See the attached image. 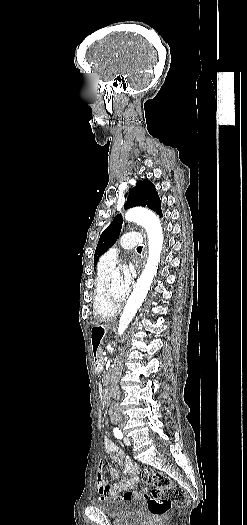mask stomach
<instances>
[{"mask_svg": "<svg viewBox=\"0 0 247 525\" xmlns=\"http://www.w3.org/2000/svg\"><path fill=\"white\" fill-rule=\"evenodd\" d=\"M106 328L103 326H95L91 330V345L93 346V351L96 352V349L104 337Z\"/></svg>", "mask_w": 247, "mask_h": 525, "instance_id": "obj_1", "label": "stomach"}]
</instances>
